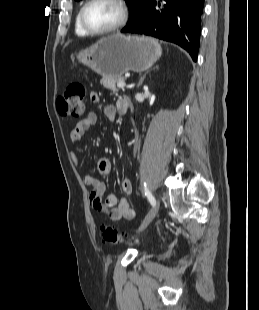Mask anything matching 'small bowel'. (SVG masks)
<instances>
[{"instance_id": "obj_1", "label": "small bowel", "mask_w": 259, "mask_h": 310, "mask_svg": "<svg viewBox=\"0 0 259 310\" xmlns=\"http://www.w3.org/2000/svg\"><path fill=\"white\" fill-rule=\"evenodd\" d=\"M90 98L94 103L100 102V97L97 92H92L90 94ZM119 102L116 105H102L105 116L112 122L115 120ZM96 120L97 116L94 112H90L84 119L80 120L70 132L71 142H79L86 133V131L89 130L96 123ZM70 156L74 163L78 165L79 157L77 155V152L75 150H72ZM111 168L112 166L109 159H99L97 163V169L100 174L108 175L111 172ZM83 182L86 186L91 188L90 205L93 210L99 213H104L112 221H119L121 219L130 220L134 218L135 211L130 205L126 196L118 199V197L114 193H110L103 199L105 191V186L103 182L90 174H86L83 176ZM121 189L124 195H130L133 190L132 181L128 178L123 179L121 182Z\"/></svg>"}]
</instances>
